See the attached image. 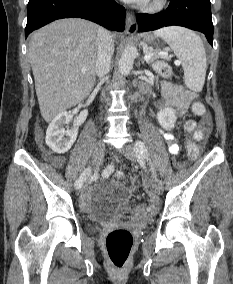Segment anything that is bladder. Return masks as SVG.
<instances>
[{
    "mask_svg": "<svg viewBox=\"0 0 233 284\" xmlns=\"http://www.w3.org/2000/svg\"><path fill=\"white\" fill-rule=\"evenodd\" d=\"M129 196L130 191L124 184L117 181H102L85 194V201L97 206L107 207L121 204ZM87 228L92 233L100 229L95 222L89 223Z\"/></svg>",
    "mask_w": 233,
    "mask_h": 284,
    "instance_id": "obj_1",
    "label": "bladder"
}]
</instances>
